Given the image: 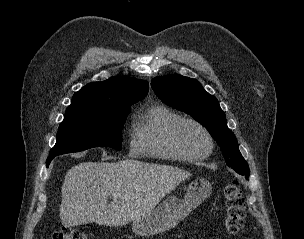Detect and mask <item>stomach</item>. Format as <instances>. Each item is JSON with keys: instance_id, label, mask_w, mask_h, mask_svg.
<instances>
[{"instance_id": "obj_1", "label": "stomach", "mask_w": 304, "mask_h": 239, "mask_svg": "<svg viewBox=\"0 0 304 239\" xmlns=\"http://www.w3.org/2000/svg\"><path fill=\"white\" fill-rule=\"evenodd\" d=\"M212 192L211 183L198 178L190 183L184 199L175 196L166 198L149 213L133 221L132 231L138 236H151L165 232L199 206Z\"/></svg>"}]
</instances>
